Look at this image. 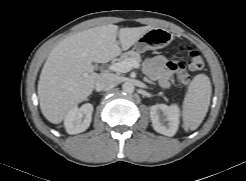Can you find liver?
Returning a JSON list of instances; mask_svg holds the SVG:
<instances>
[{
    "label": "liver",
    "mask_w": 246,
    "mask_h": 181,
    "mask_svg": "<svg viewBox=\"0 0 246 181\" xmlns=\"http://www.w3.org/2000/svg\"><path fill=\"white\" fill-rule=\"evenodd\" d=\"M150 29L151 26L119 29L117 25L108 24L73 34L59 42L50 52L38 81L44 117L59 124L71 108L93 92L98 74L93 72L92 62H109Z\"/></svg>",
    "instance_id": "liver-1"
}]
</instances>
